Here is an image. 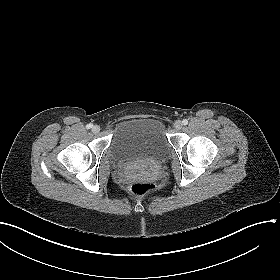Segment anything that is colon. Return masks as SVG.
<instances>
[{"label": "colon", "instance_id": "obj_1", "mask_svg": "<svg viewBox=\"0 0 280 280\" xmlns=\"http://www.w3.org/2000/svg\"><path fill=\"white\" fill-rule=\"evenodd\" d=\"M156 187L144 180H134L130 185V191L137 196H145L155 191Z\"/></svg>", "mask_w": 280, "mask_h": 280}]
</instances>
